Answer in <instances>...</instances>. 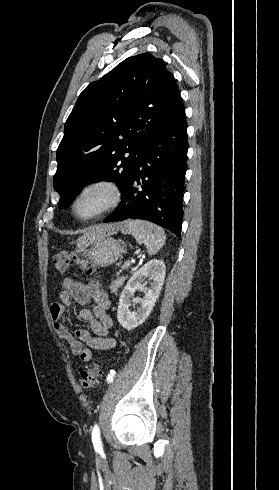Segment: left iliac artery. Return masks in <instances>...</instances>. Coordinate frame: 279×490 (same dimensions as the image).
Instances as JSON below:
<instances>
[{"mask_svg": "<svg viewBox=\"0 0 279 490\" xmlns=\"http://www.w3.org/2000/svg\"><path fill=\"white\" fill-rule=\"evenodd\" d=\"M115 371L111 370L110 373L108 374L107 377V382L111 383L113 382V379L115 377ZM92 442L95 450H102V442H101V437H100V430L97 425H94L92 429Z\"/></svg>", "mask_w": 279, "mask_h": 490, "instance_id": "44dca946", "label": "left iliac artery"}]
</instances>
